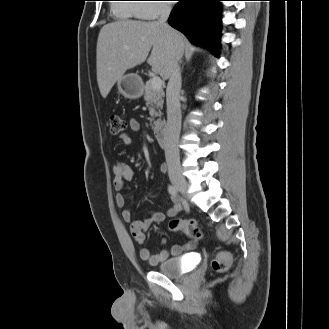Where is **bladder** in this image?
Here are the masks:
<instances>
[{"mask_svg":"<svg viewBox=\"0 0 329 329\" xmlns=\"http://www.w3.org/2000/svg\"><path fill=\"white\" fill-rule=\"evenodd\" d=\"M184 257L166 258L158 263L156 271L169 277H181L186 272Z\"/></svg>","mask_w":329,"mask_h":329,"instance_id":"obj_1","label":"bladder"}]
</instances>
